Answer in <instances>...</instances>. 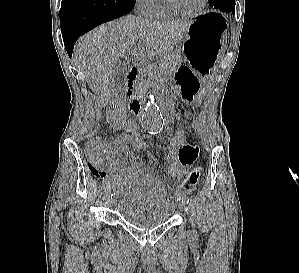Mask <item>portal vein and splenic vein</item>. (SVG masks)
I'll list each match as a JSON object with an SVG mask.
<instances>
[{"label":"portal vein and splenic vein","mask_w":299,"mask_h":273,"mask_svg":"<svg viewBox=\"0 0 299 273\" xmlns=\"http://www.w3.org/2000/svg\"><path fill=\"white\" fill-rule=\"evenodd\" d=\"M144 60H145L144 57H137V61H139V62L143 63Z\"/></svg>","instance_id":"obj_1"}]
</instances>
